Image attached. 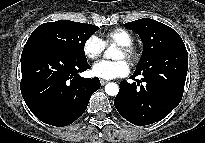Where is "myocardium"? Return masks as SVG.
Here are the masks:
<instances>
[{"instance_id":"1","label":"myocardium","mask_w":205,"mask_h":143,"mask_svg":"<svg viewBox=\"0 0 205 143\" xmlns=\"http://www.w3.org/2000/svg\"><path fill=\"white\" fill-rule=\"evenodd\" d=\"M118 49L124 53V59H126L129 64L134 65L140 60V52L133 44L118 45Z\"/></svg>"}]
</instances>
